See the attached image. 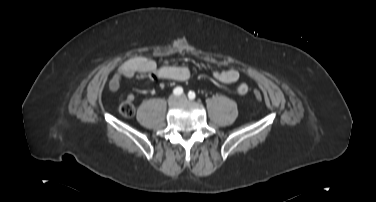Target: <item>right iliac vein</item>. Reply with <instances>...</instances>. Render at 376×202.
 I'll return each mask as SVG.
<instances>
[{
  "instance_id": "63e3f726",
  "label": "right iliac vein",
  "mask_w": 376,
  "mask_h": 202,
  "mask_svg": "<svg viewBox=\"0 0 376 202\" xmlns=\"http://www.w3.org/2000/svg\"><path fill=\"white\" fill-rule=\"evenodd\" d=\"M177 102V97L175 95H171L169 98H168V104L170 106L174 105L175 103Z\"/></svg>"
}]
</instances>
